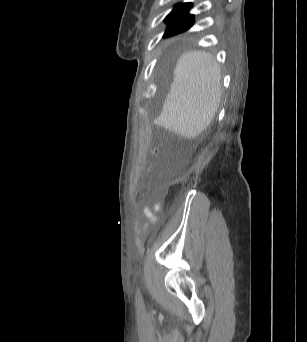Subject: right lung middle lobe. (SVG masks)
I'll list each match as a JSON object with an SVG mask.
<instances>
[{"label": "right lung middle lobe", "instance_id": "dd1d6c3e", "mask_svg": "<svg viewBox=\"0 0 307 342\" xmlns=\"http://www.w3.org/2000/svg\"><path fill=\"white\" fill-rule=\"evenodd\" d=\"M168 28L164 37L171 36L189 29L194 23V15L188 14L187 10L172 11L165 19Z\"/></svg>", "mask_w": 307, "mask_h": 342}]
</instances>
